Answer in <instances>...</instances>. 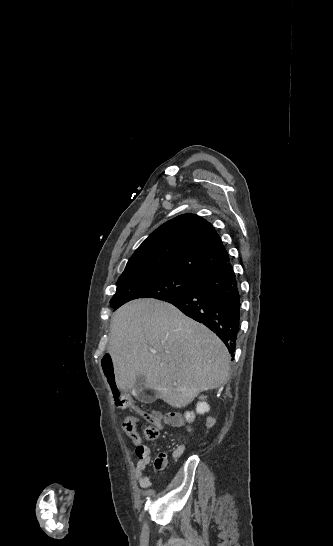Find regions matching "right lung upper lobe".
Here are the masks:
<instances>
[{"instance_id": "1", "label": "right lung upper lobe", "mask_w": 333, "mask_h": 546, "mask_svg": "<svg viewBox=\"0 0 333 546\" xmlns=\"http://www.w3.org/2000/svg\"><path fill=\"white\" fill-rule=\"evenodd\" d=\"M229 261L212 224L196 214H183L157 228L137 248L122 275L172 272L201 278Z\"/></svg>"}]
</instances>
